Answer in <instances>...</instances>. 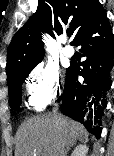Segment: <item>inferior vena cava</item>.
I'll use <instances>...</instances> for the list:
<instances>
[{"instance_id":"602c4592","label":"inferior vena cava","mask_w":114,"mask_h":156,"mask_svg":"<svg viewBox=\"0 0 114 156\" xmlns=\"http://www.w3.org/2000/svg\"><path fill=\"white\" fill-rule=\"evenodd\" d=\"M52 111H53L54 116L58 115V113H57L58 107L57 106H55ZM59 156H66V151H65L64 147L61 149Z\"/></svg>"}]
</instances>
